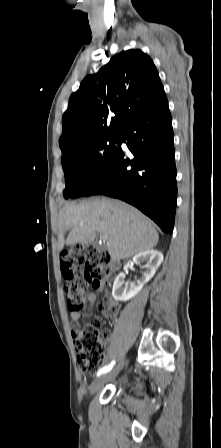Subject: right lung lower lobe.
<instances>
[{
    "label": "right lung lower lobe",
    "instance_id": "right-lung-lower-lobe-1",
    "mask_svg": "<svg viewBox=\"0 0 221 448\" xmlns=\"http://www.w3.org/2000/svg\"><path fill=\"white\" fill-rule=\"evenodd\" d=\"M172 119L166 96L132 117L118 134L117 148L83 196L124 200L172 233L177 186ZM126 143L128 152L121 148Z\"/></svg>",
    "mask_w": 221,
    "mask_h": 448
}]
</instances>
